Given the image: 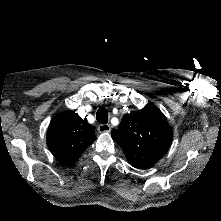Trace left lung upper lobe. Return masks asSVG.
Listing matches in <instances>:
<instances>
[{
  "mask_svg": "<svg viewBox=\"0 0 221 221\" xmlns=\"http://www.w3.org/2000/svg\"><path fill=\"white\" fill-rule=\"evenodd\" d=\"M112 138L122 147L128 162L144 169L156 164L172 143V130L164 114L154 104L125 114Z\"/></svg>",
  "mask_w": 221,
  "mask_h": 221,
  "instance_id": "obj_1",
  "label": "left lung upper lobe"
}]
</instances>
